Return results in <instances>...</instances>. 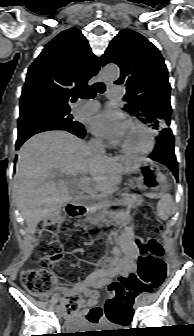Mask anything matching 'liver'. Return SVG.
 Segmentation results:
<instances>
[{
    "mask_svg": "<svg viewBox=\"0 0 194 336\" xmlns=\"http://www.w3.org/2000/svg\"><path fill=\"white\" fill-rule=\"evenodd\" d=\"M136 159L95 154L85 141L65 131H48L31 137L18 152L15 174L16 203L27 232L34 234L42 219L73 199L61 176L89 174L90 178L76 184L78 188L89 193H110L121 182L124 165ZM90 181L92 188L88 187Z\"/></svg>",
    "mask_w": 194,
    "mask_h": 336,
    "instance_id": "liver-1",
    "label": "liver"
}]
</instances>
